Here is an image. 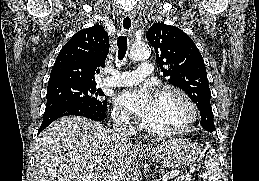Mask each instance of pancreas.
<instances>
[{"label": "pancreas", "mask_w": 259, "mask_h": 181, "mask_svg": "<svg viewBox=\"0 0 259 181\" xmlns=\"http://www.w3.org/2000/svg\"><path fill=\"white\" fill-rule=\"evenodd\" d=\"M175 181H191V175L183 174V175L179 176Z\"/></svg>", "instance_id": "1"}]
</instances>
